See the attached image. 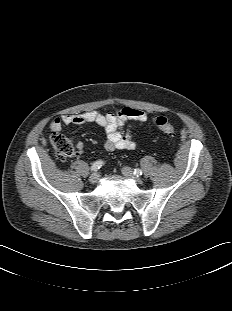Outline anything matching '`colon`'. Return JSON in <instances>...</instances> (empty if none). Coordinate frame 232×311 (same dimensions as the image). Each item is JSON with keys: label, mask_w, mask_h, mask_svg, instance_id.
<instances>
[{"label": "colon", "mask_w": 232, "mask_h": 311, "mask_svg": "<svg viewBox=\"0 0 232 311\" xmlns=\"http://www.w3.org/2000/svg\"><path fill=\"white\" fill-rule=\"evenodd\" d=\"M155 125L168 137L173 138L176 134L174 126L165 118L157 117L154 119ZM51 143L61 160H66L75 154V147L71 139L61 133H52Z\"/></svg>", "instance_id": "1"}]
</instances>
